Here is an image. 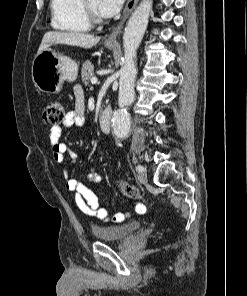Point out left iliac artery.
Listing matches in <instances>:
<instances>
[{
    "label": "left iliac artery",
    "mask_w": 247,
    "mask_h": 296,
    "mask_svg": "<svg viewBox=\"0 0 247 296\" xmlns=\"http://www.w3.org/2000/svg\"><path fill=\"white\" fill-rule=\"evenodd\" d=\"M136 170H137L138 172H141V171H143V166H141V165H138V166L136 167Z\"/></svg>",
    "instance_id": "1"
}]
</instances>
